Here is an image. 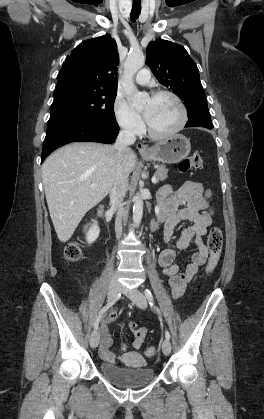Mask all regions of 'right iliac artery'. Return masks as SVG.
Wrapping results in <instances>:
<instances>
[{
    "label": "right iliac artery",
    "instance_id": "1",
    "mask_svg": "<svg viewBox=\"0 0 264 419\" xmlns=\"http://www.w3.org/2000/svg\"><path fill=\"white\" fill-rule=\"evenodd\" d=\"M121 296V294H118L116 299L109 302L108 304H106L100 311L98 317L96 318L95 322H94V329H97L99 326V322L102 318V316L106 313V311L112 306L114 305V303L116 302V300Z\"/></svg>",
    "mask_w": 264,
    "mask_h": 419
}]
</instances>
